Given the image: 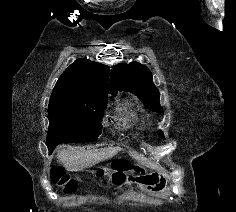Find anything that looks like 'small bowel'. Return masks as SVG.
Returning <instances> with one entry per match:
<instances>
[{"label": "small bowel", "instance_id": "1", "mask_svg": "<svg viewBox=\"0 0 236 212\" xmlns=\"http://www.w3.org/2000/svg\"><path fill=\"white\" fill-rule=\"evenodd\" d=\"M118 180L119 182H116L114 190H110V195H118V192H124L122 193V198H129V201L135 198V193L127 192L140 191V188L124 187L127 184L140 186V183H142L149 192H161L165 190V179L157 175H118ZM111 201H116V198H111Z\"/></svg>", "mask_w": 236, "mask_h": 212}]
</instances>
